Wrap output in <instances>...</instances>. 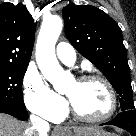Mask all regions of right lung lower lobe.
<instances>
[{
  "mask_svg": "<svg viewBox=\"0 0 136 136\" xmlns=\"http://www.w3.org/2000/svg\"><path fill=\"white\" fill-rule=\"evenodd\" d=\"M0 112L12 115L23 121L28 119V113L26 109L18 107H0Z\"/></svg>",
  "mask_w": 136,
  "mask_h": 136,
  "instance_id": "right-lung-lower-lobe-1",
  "label": "right lung lower lobe"
}]
</instances>
